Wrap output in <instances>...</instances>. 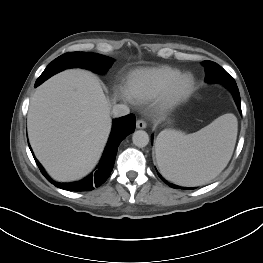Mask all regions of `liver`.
Wrapping results in <instances>:
<instances>
[{"instance_id": "obj_1", "label": "liver", "mask_w": 263, "mask_h": 263, "mask_svg": "<svg viewBox=\"0 0 263 263\" xmlns=\"http://www.w3.org/2000/svg\"><path fill=\"white\" fill-rule=\"evenodd\" d=\"M110 109L99 79L85 70L63 71L36 89L28 136L53 179L78 180L94 168L111 130Z\"/></svg>"}]
</instances>
